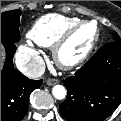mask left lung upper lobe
Segmentation results:
<instances>
[{
    "label": "left lung upper lobe",
    "instance_id": "left-lung-upper-lobe-1",
    "mask_svg": "<svg viewBox=\"0 0 121 121\" xmlns=\"http://www.w3.org/2000/svg\"><path fill=\"white\" fill-rule=\"evenodd\" d=\"M113 36H114L113 41L121 42V39H120V37L117 35L116 32H113Z\"/></svg>",
    "mask_w": 121,
    "mask_h": 121
}]
</instances>
